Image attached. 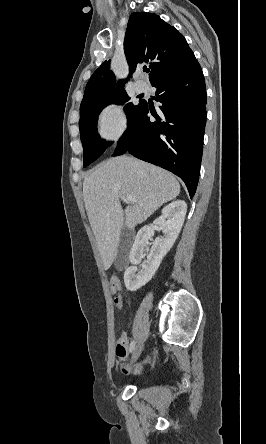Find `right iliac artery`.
Instances as JSON below:
<instances>
[{"instance_id": "right-iliac-artery-1", "label": "right iliac artery", "mask_w": 266, "mask_h": 444, "mask_svg": "<svg viewBox=\"0 0 266 444\" xmlns=\"http://www.w3.org/2000/svg\"><path fill=\"white\" fill-rule=\"evenodd\" d=\"M134 348H135V341L133 340V341L130 343L129 351L132 352V351L134 350Z\"/></svg>"}]
</instances>
